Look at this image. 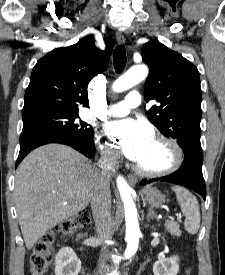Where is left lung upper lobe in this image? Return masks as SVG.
<instances>
[{"mask_svg": "<svg viewBox=\"0 0 225 275\" xmlns=\"http://www.w3.org/2000/svg\"><path fill=\"white\" fill-rule=\"evenodd\" d=\"M141 54L150 68L144 86L145 101L154 99L159 103L146 112L148 119L162 134L177 140L183 151L201 148L202 94L197 67L158 40L146 43Z\"/></svg>", "mask_w": 225, "mask_h": 275, "instance_id": "left-lung-upper-lobe-1", "label": "left lung upper lobe"}]
</instances>
